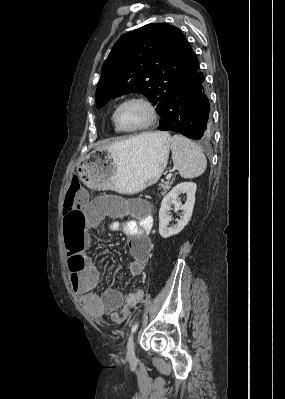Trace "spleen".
I'll return each instance as SVG.
<instances>
[{
  "mask_svg": "<svg viewBox=\"0 0 285 399\" xmlns=\"http://www.w3.org/2000/svg\"><path fill=\"white\" fill-rule=\"evenodd\" d=\"M170 142L173 164L182 178L191 179L204 173L207 160L196 143L179 134L174 135Z\"/></svg>",
  "mask_w": 285,
  "mask_h": 399,
  "instance_id": "obj_1",
  "label": "spleen"
}]
</instances>
